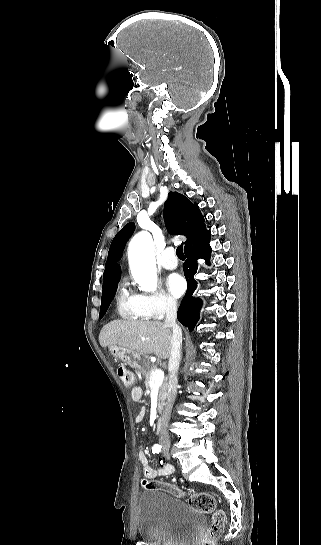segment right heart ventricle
Here are the masks:
<instances>
[{"instance_id": "e07e8e85", "label": "right heart ventricle", "mask_w": 321, "mask_h": 545, "mask_svg": "<svg viewBox=\"0 0 321 545\" xmlns=\"http://www.w3.org/2000/svg\"><path fill=\"white\" fill-rule=\"evenodd\" d=\"M116 310L119 317L132 322L146 321L147 318L140 311L135 295L121 290L116 299Z\"/></svg>"}]
</instances>
